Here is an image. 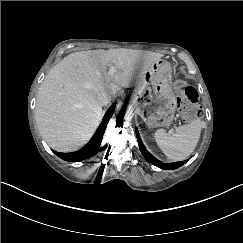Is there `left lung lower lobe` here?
<instances>
[{
	"mask_svg": "<svg viewBox=\"0 0 243 243\" xmlns=\"http://www.w3.org/2000/svg\"><path fill=\"white\" fill-rule=\"evenodd\" d=\"M136 136H137V140H138V144H139V148L141 153L143 154V156L152 164H154L155 166L164 169V170H173V169H177L179 167H181L183 164H185L187 162L186 161H181V162H175V163H162L161 161L157 160L155 157H153L145 148V146L143 145L138 130L136 129Z\"/></svg>",
	"mask_w": 243,
	"mask_h": 243,
	"instance_id": "1",
	"label": "left lung lower lobe"
}]
</instances>
